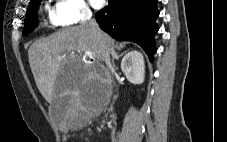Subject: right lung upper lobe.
I'll return each mask as SVG.
<instances>
[{
    "label": "right lung upper lobe",
    "mask_w": 227,
    "mask_h": 142,
    "mask_svg": "<svg viewBox=\"0 0 227 142\" xmlns=\"http://www.w3.org/2000/svg\"><path fill=\"white\" fill-rule=\"evenodd\" d=\"M34 1H36V0H31L30 3H31V2H34Z\"/></svg>",
    "instance_id": "obj_1"
}]
</instances>
